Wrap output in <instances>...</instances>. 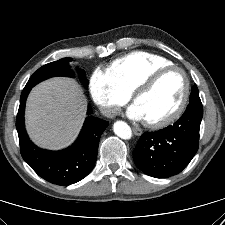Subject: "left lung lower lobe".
<instances>
[{
  "instance_id": "obj_1",
  "label": "left lung lower lobe",
  "mask_w": 225,
  "mask_h": 225,
  "mask_svg": "<svg viewBox=\"0 0 225 225\" xmlns=\"http://www.w3.org/2000/svg\"><path fill=\"white\" fill-rule=\"evenodd\" d=\"M202 116L201 101L189 102L184 114L173 125L145 132L133 151L136 166L155 178L181 172L198 150Z\"/></svg>"
}]
</instances>
